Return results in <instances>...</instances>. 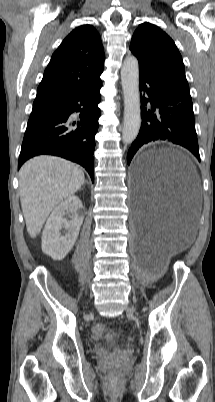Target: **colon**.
I'll list each match as a JSON object with an SVG mask.
<instances>
[{
	"label": "colon",
	"instance_id": "1",
	"mask_svg": "<svg viewBox=\"0 0 215 402\" xmlns=\"http://www.w3.org/2000/svg\"><path fill=\"white\" fill-rule=\"evenodd\" d=\"M93 334L98 337L105 336V335L110 336V337L115 336L113 333H110L103 324H100V323L96 324L93 327Z\"/></svg>",
	"mask_w": 215,
	"mask_h": 402
}]
</instances>
